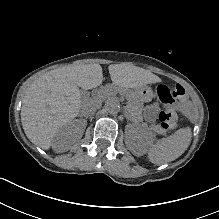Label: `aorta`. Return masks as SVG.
Listing matches in <instances>:
<instances>
[{"label":"aorta","instance_id":"obj_1","mask_svg":"<svg viewBox=\"0 0 219 219\" xmlns=\"http://www.w3.org/2000/svg\"><path fill=\"white\" fill-rule=\"evenodd\" d=\"M104 107L110 114H117L120 111V106L116 99L106 100Z\"/></svg>","mask_w":219,"mask_h":219}]
</instances>
